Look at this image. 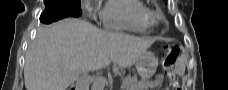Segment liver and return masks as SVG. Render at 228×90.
I'll use <instances>...</instances> for the list:
<instances>
[{
	"label": "liver",
	"instance_id": "obj_1",
	"mask_svg": "<svg viewBox=\"0 0 228 90\" xmlns=\"http://www.w3.org/2000/svg\"><path fill=\"white\" fill-rule=\"evenodd\" d=\"M153 38L108 32L91 23L68 18L40 27L25 56L26 90H66L88 71L113 64L132 66L154 43Z\"/></svg>",
	"mask_w": 228,
	"mask_h": 90
}]
</instances>
